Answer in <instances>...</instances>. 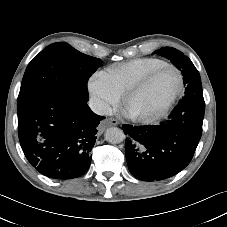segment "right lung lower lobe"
<instances>
[{
    "mask_svg": "<svg viewBox=\"0 0 227 227\" xmlns=\"http://www.w3.org/2000/svg\"><path fill=\"white\" fill-rule=\"evenodd\" d=\"M103 118L91 111L86 100L63 94L39 96L18 108L22 150L47 177H79L90 166L96 127Z\"/></svg>",
    "mask_w": 227,
    "mask_h": 227,
    "instance_id": "right-lung-lower-lobe-1",
    "label": "right lung lower lobe"
}]
</instances>
